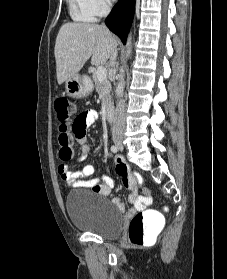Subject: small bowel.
I'll list each match as a JSON object with an SVG mask.
<instances>
[{
	"label": "small bowel",
	"instance_id": "obj_1",
	"mask_svg": "<svg viewBox=\"0 0 227 279\" xmlns=\"http://www.w3.org/2000/svg\"><path fill=\"white\" fill-rule=\"evenodd\" d=\"M85 114V127H89L98 120V114L94 110H89ZM73 136L76 139L77 143L80 145V152L76 157L75 162H83L90 155V148L87 144L85 132L80 134H74ZM118 162H122V159L118 158ZM57 170L62 181L69 187L95 185L97 186V188L95 189L108 196L111 199V201L114 204H116L121 210H126V206L121 202V200L117 196L113 195L112 193V188L115 185V181L113 178L108 176L102 177L100 179L92 178V175L95 172L94 165L88 164L80 171H73L67 164L61 163L58 166ZM120 175L122 177L123 185L132 191V193L129 196V199L133 204L134 210L143 209L151 204L152 196L150 190L144 188L142 189V193L139 195V189L134 181V173H132L129 168H127L126 172L120 173Z\"/></svg>",
	"mask_w": 227,
	"mask_h": 279
}]
</instances>
